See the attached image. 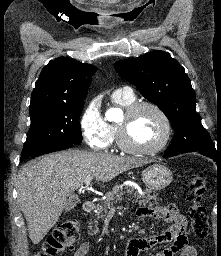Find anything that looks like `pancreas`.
Wrapping results in <instances>:
<instances>
[{"mask_svg": "<svg viewBox=\"0 0 221 256\" xmlns=\"http://www.w3.org/2000/svg\"><path fill=\"white\" fill-rule=\"evenodd\" d=\"M125 193L130 196V201H132L133 203H138L139 205H153L154 203L156 204L158 201L156 195H150V190H146L145 195H140L138 191H135L133 188L127 187L126 191H123L122 185H116L113 187L112 191L106 194L105 199H103L101 203L97 205L95 216L98 219H104L106 217V214L108 213V210L112 208L113 203L119 201ZM97 226L98 224L96 223L95 230H93L94 233L98 232ZM92 227V222H89V229L92 230Z\"/></svg>", "mask_w": 221, "mask_h": 256, "instance_id": "cf45deb5", "label": "pancreas"}]
</instances>
